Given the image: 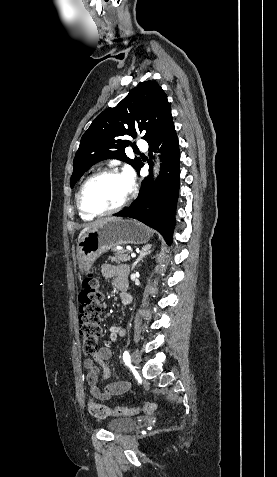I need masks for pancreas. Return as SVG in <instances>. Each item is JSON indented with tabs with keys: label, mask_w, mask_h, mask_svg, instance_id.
Wrapping results in <instances>:
<instances>
[{
	"label": "pancreas",
	"mask_w": 277,
	"mask_h": 477,
	"mask_svg": "<svg viewBox=\"0 0 277 477\" xmlns=\"http://www.w3.org/2000/svg\"><path fill=\"white\" fill-rule=\"evenodd\" d=\"M115 252V254L111 257H109V259L112 261V262H116V263H120V262H127V261H130V256H129V252L126 251V250H113Z\"/></svg>",
	"instance_id": "obj_1"
}]
</instances>
